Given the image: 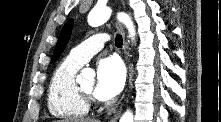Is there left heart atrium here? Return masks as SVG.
Returning a JSON list of instances; mask_svg holds the SVG:
<instances>
[{"mask_svg":"<svg viewBox=\"0 0 221 122\" xmlns=\"http://www.w3.org/2000/svg\"><path fill=\"white\" fill-rule=\"evenodd\" d=\"M125 69L119 58L106 57L98 62L94 95L99 100H109L123 89Z\"/></svg>","mask_w":221,"mask_h":122,"instance_id":"left-heart-atrium-1","label":"left heart atrium"}]
</instances>
